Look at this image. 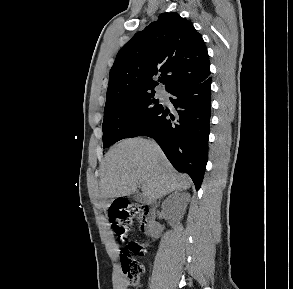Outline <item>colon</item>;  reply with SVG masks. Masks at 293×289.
<instances>
[{
    "label": "colon",
    "mask_w": 293,
    "mask_h": 289,
    "mask_svg": "<svg viewBox=\"0 0 293 289\" xmlns=\"http://www.w3.org/2000/svg\"><path fill=\"white\" fill-rule=\"evenodd\" d=\"M142 210L140 204H126L122 201L114 202L109 210V220L115 234L121 241L129 237V225L131 219ZM147 253V245L139 241H130L127 250L121 252V261L124 274L129 283L136 284L143 272V266L132 255L144 256Z\"/></svg>",
    "instance_id": "obj_1"
}]
</instances>
